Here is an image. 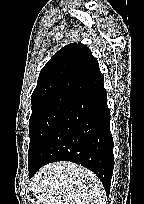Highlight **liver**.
I'll list each match as a JSON object with an SVG mask.
<instances>
[{
	"mask_svg": "<svg viewBox=\"0 0 144 204\" xmlns=\"http://www.w3.org/2000/svg\"><path fill=\"white\" fill-rule=\"evenodd\" d=\"M35 204H105L104 187L90 170L71 162L42 167L30 181Z\"/></svg>",
	"mask_w": 144,
	"mask_h": 204,
	"instance_id": "liver-1",
	"label": "liver"
}]
</instances>
